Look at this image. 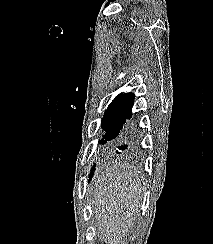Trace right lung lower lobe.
<instances>
[{
	"instance_id": "98d812e1",
	"label": "right lung lower lobe",
	"mask_w": 213,
	"mask_h": 244,
	"mask_svg": "<svg viewBox=\"0 0 213 244\" xmlns=\"http://www.w3.org/2000/svg\"><path fill=\"white\" fill-rule=\"evenodd\" d=\"M116 153H125L132 148V137L129 129H124L123 133L114 141ZM120 150V152L118 151Z\"/></svg>"
}]
</instances>
